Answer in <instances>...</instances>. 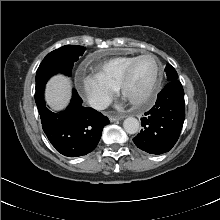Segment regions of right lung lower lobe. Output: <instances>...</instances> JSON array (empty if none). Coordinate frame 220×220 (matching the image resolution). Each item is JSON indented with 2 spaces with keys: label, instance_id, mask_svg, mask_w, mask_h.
Listing matches in <instances>:
<instances>
[{
  "label": "right lung lower lobe",
  "instance_id": "right-lung-lower-lobe-1",
  "mask_svg": "<svg viewBox=\"0 0 220 220\" xmlns=\"http://www.w3.org/2000/svg\"><path fill=\"white\" fill-rule=\"evenodd\" d=\"M35 102L41 116L43 131L62 155L77 157L90 153L97 146L109 119L100 112L82 106L76 90L65 111L53 113L44 101V87L36 90Z\"/></svg>",
  "mask_w": 220,
  "mask_h": 220
}]
</instances>
